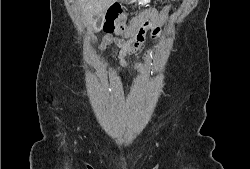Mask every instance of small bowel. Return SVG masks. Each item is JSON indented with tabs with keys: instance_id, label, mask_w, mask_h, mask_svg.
<instances>
[{
	"instance_id": "obj_1",
	"label": "small bowel",
	"mask_w": 250,
	"mask_h": 169,
	"mask_svg": "<svg viewBox=\"0 0 250 169\" xmlns=\"http://www.w3.org/2000/svg\"><path fill=\"white\" fill-rule=\"evenodd\" d=\"M138 23L139 20L136 18L132 21L131 25L127 27L124 32L119 33L120 37H113L111 35H107L102 41V46L104 47L110 45L113 41L120 45L121 50L119 53V62L123 67H129V64L127 63L125 57L131 53L137 52L138 49L141 47V45H135L133 42V38H131L134 35ZM151 58V53L146 54V59L148 61H150Z\"/></svg>"
}]
</instances>
